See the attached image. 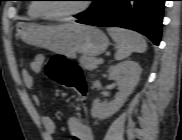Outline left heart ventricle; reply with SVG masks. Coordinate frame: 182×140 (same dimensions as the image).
<instances>
[{
	"label": "left heart ventricle",
	"mask_w": 182,
	"mask_h": 140,
	"mask_svg": "<svg viewBox=\"0 0 182 140\" xmlns=\"http://www.w3.org/2000/svg\"><path fill=\"white\" fill-rule=\"evenodd\" d=\"M82 2L80 0H50L44 7L51 13H65L80 8L83 5Z\"/></svg>",
	"instance_id": "left-heart-ventricle-1"
}]
</instances>
